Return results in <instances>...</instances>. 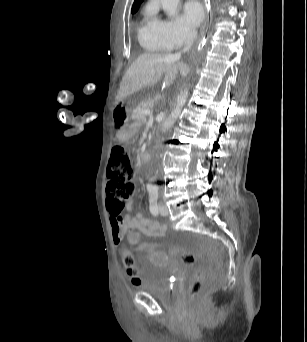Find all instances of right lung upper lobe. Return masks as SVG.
I'll return each instance as SVG.
<instances>
[{
	"label": "right lung upper lobe",
	"instance_id": "cb5924a9",
	"mask_svg": "<svg viewBox=\"0 0 307 342\" xmlns=\"http://www.w3.org/2000/svg\"><path fill=\"white\" fill-rule=\"evenodd\" d=\"M142 1L143 0H135L134 4L132 6V13H135L138 10Z\"/></svg>",
	"mask_w": 307,
	"mask_h": 342
}]
</instances>
